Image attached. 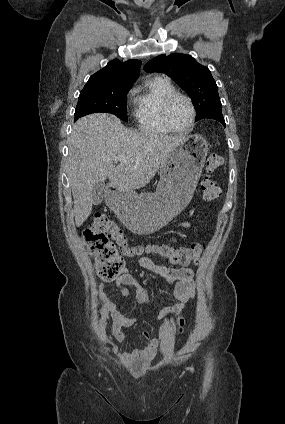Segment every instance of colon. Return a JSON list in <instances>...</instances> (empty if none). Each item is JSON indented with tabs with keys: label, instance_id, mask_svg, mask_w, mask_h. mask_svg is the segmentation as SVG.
<instances>
[{
	"label": "colon",
	"instance_id": "1",
	"mask_svg": "<svg viewBox=\"0 0 285 424\" xmlns=\"http://www.w3.org/2000/svg\"><path fill=\"white\" fill-rule=\"evenodd\" d=\"M223 157L215 152L208 154L206 174L201 181L202 196L213 201L221 196V188L212 178V173L223 164ZM82 241L94 256L98 274L104 279H113L124 270V256H140L154 253L162 256L172 264L187 265L199 262L205 251L202 244L170 247L166 245L130 246L123 230L103 214L94 218L92 224L83 231Z\"/></svg>",
	"mask_w": 285,
	"mask_h": 424
}]
</instances>
